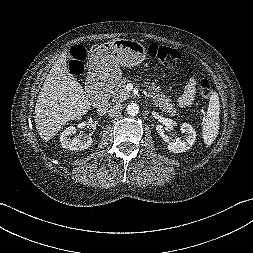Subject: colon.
I'll return each mask as SVG.
<instances>
[{
    "instance_id": "obj_1",
    "label": "colon",
    "mask_w": 253,
    "mask_h": 253,
    "mask_svg": "<svg viewBox=\"0 0 253 253\" xmlns=\"http://www.w3.org/2000/svg\"><path fill=\"white\" fill-rule=\"evenodd\" d=\"M148 55L167 67L175 66L181 58V52L179 50L156 43L149 45ZM86 57L87 51L85 47L76 45L71 49L68 67L73 75L78 76L83 73ZM199 92L205 99H208L212 95V87L209 81L205 79L200 81Z\"/></svg>"
}]
</instances>
